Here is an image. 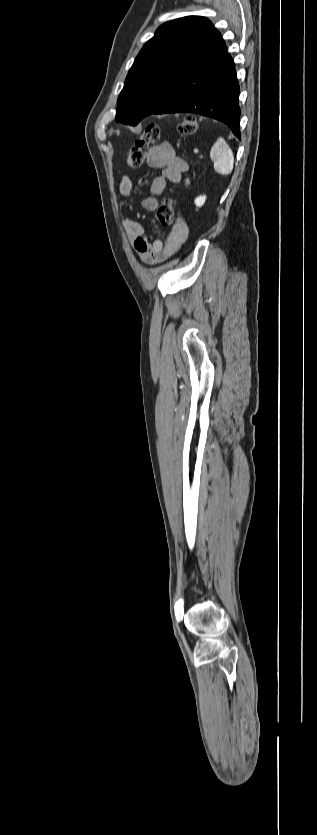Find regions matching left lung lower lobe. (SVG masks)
<instances>
[{
  "instance_id": "left-lung-lower-lobe-1",
  "label": "left lung lower lobe",
  "mask_w": 317,
  "mask_h": 835,
  "mask_svg": "<svg viewBox=\"0 0 317 835\" xmlns=\"http://www.w3.org/2000/svg\"><path fill=\"white\" fill-rule=\"evenodd\" d=\"M239 92L235 64L217 31L187 67L171 96L152 114L195 113L211 117L225 123L240 139Z\"/></svg>"
}]
</instances>
